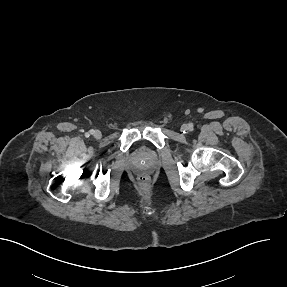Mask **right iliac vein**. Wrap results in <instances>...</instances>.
<instances>
[{
	"instance_id": "obj_1",
	"label": "right iliac vein",
	"mask_w": 287,
	"mask_h": 287,
	"mask_svg": "<svg viewBox=\"0 0 287 287\" xmlns=\"http://www.w3.org/2000/svg\"><path fill=\"white\" fill-rule=\"evenodd\" d=\"M93 136L95 139H100L102 137V134L99 130L94 131Z\"/></svg>"
}]
</instances>
